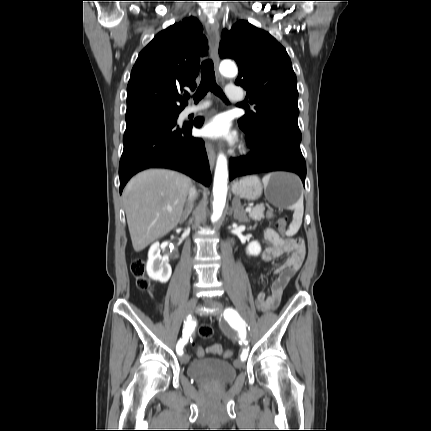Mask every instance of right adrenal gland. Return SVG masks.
<instances>
[{"mask_svg": "<svg viewBox=\"0 0 431 431\" xmlns=\"http://www.w3.org/2000/svg\"><path fill=\"white\" fill-rule=\"evenodd\" d=\"M192 208H193V204L191 203L190 206L188 208H186L185 211L183 212L180 223H183L188 218L189 214L192 211Z\"/></svg>", "mask_w": 431, "mask_h": 431, "instance_id": "1", "label": "right adrenal gland"}]
</instances>
